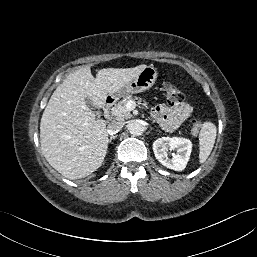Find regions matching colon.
Listing matches in <instances>:
<instances>
[{"label": "colon", "instance_id": "colon-1", "mask_svg": "<svg viewBox=\"0 0 257 257\" xmlns=\"http://www.w3.org/2000/svg\"><path fill=\"white\" fill-rule=\"evenodd\" d=\"M164 95L166 99L171 103H180L183 100L182 92L172 84H166L164 87ZM193 127L198 129L201 124L197 121L193 122Z\"/></svg>", "mask_w": 257, "mask_h": 257}]
</instances>
